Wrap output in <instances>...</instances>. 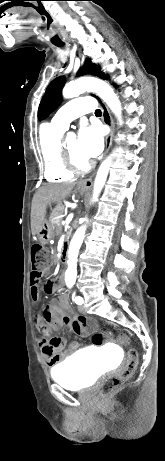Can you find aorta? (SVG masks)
I'll list each match as a JSON object with an SVG mask.
<instances>
[{
	"label": "aorta",
	"mask_w": 165,
	"mask_h": 461,
	"mask_svg": "<svg viewBox=\"0 0 165 461\" xmlns=\"http://www.w3.org/2000/svg\"><path fill=\"white\" fill-rule=\"evenodd\" d=\"M91 91L98 94L104 102L108 105L115 116L121 118V103L114 93L113 89L105 81L93 78V77H82L75 81L66 84L63 88L62 94L66 99L78 97L80 94ZM112 164V158L109 156L100 165L95 182L93 201H96L99 193L101 192ZM87 221V220H86ZM86 231V225H83L75 232L68 250V268L65 272L66 282H75L77 276V258L79 249L82 245L84 234Z\"/></svg>",
	"instance_id": "aorta-1"
}]
</instances>
